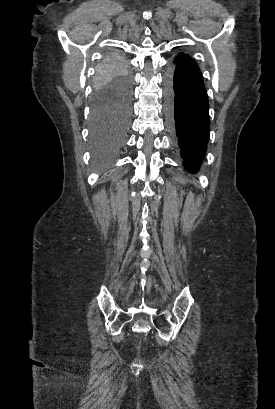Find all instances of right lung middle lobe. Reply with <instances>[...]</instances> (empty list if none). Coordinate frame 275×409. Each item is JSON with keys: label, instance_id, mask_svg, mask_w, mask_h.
Returning a JSON list of instances; mask_svg holds the SVG:
<instances>
[{"label": "right lung middle lobe", "instance_id": "right-lung-middle-lobe-1", "mask_svg": "<svg viewBox=\"0 0 275 409\" xmlns=\"http://www.w3.org/2000/svg\"><path fill=\"white\" fill-rule=\"evenodd\" d=\"M131 82V73L123 57L115 50L105 51L93 85L92 168L111 161L125 146L131 114Z\"/></svg>", "mask_w": 275, "mask_h": 409}]
</instances>
